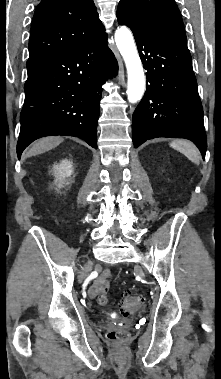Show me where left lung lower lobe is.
<instances>
[{
    "mask_svg": "<svg viewBox=\"0 0 221 379\" xmlns=\"http://www.w3.org/2000/svg\"><path fill=\"white\" fill-rule=\"evenodd\" d=\"M117 18L132 30L147 70V89L133 114L134 146L157 137L187 138L205 158L203 107L187 44L145 30L124 11Z\"/></svg>",
    "mask_w": 221,
    "mask_h": 379,
    "instance_id": "left-lung-lower-lobe-1",
    "label": "left lung lower lobe"
}]
</instances>
